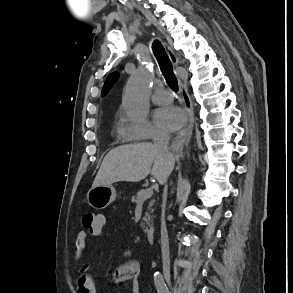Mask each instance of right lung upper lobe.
Wrapping results in <instances>:
<instances>
[{
    "instance_id": "right-lung-upper-lobe-1",
    "label": "right lung upper lobe",
    "mask_w": 293,
    "mask_h": 293,
    "mask_svg": "<svg viewBox=\"0 0 293 293\" xmlns=\"http://www.w3.org/2000/svg\"><path fill=\"white\" fill-rule=\"evenodd\" d=\"M117 78H118L117 72H114L107 77L105 84H104V87L102 89V96H104L109 91L113 82H115L117 80Z\"/></svg>"
}]
</instances>
